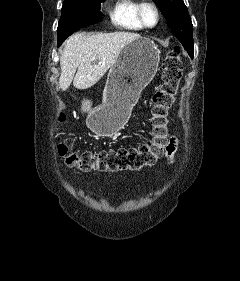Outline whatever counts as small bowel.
Segmentation results:
<instances>
[{
	"instance_id": "obj_1",
	"label": "small bowel",
	"mask_w": 240,
	"mask_h": 281,
	"mask_svg": "<svg viewBox=\"0 0 240 281\" xmlns=\"http://www.w3.org/2000/svg\"><path fill=\"white\" fill-rule=\"evenodd\" d=\"M176 150H177V139L175 137H170L168 148H167V153H166V157H167L169 164L174 163V156H175Z\"/></svg>"
}]
</instances>
